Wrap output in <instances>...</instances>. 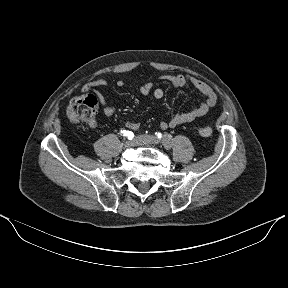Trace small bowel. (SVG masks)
<instances>
[{
    "label": "small bowel",
    "mask_w": 288,
    "mask_h": 288,
    "mask_svg": "<svg viewBox=\"0 0 288 288\" xmlns=\"http://www.w3.org/2000/svg\"><path fill=\"white\" fill-rule=\"evenodd\" d=\"M160 78L171 83L175 87L191 85L204 96V100L199 105L193 107L189 111L175 112L169 120L162 121L160 123V127L162 129L174 128L180 124L191 122L197 118H200L206 115L209 110L215 106L217 102V96L213 89L205 82L195 77H192L190 75L164 74L161 75ZM116 85L118 87H123L125 85V82L123 80H118ZM106 86L107 81L105 79H97L86 84L83 88V91H93L97 95L102 105L103 112L108 116H112L115 113V109L106 101L104 95L100 92V89ZM140 90L143 95L152 94V96L156 99H161L164 96V90L159 87L154 88L151 83L144 84ZM89 126L92 128L96 127V122L93 121L89 123ZM125 127L128 130L136 131L140 128V124L135 121H127L125 123Z\"/></svg>",
    "instance_id": "obj_1"
}]
</instances>
